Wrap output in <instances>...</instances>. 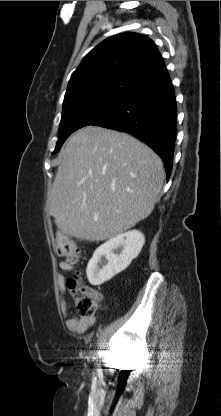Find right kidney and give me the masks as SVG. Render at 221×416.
Returning a JSON list of instances; mask_svg holds the SVG:
<instances>
[{"instance_id": "ca27d5eb", "label": "right kidney", "mask_w": 221, "mask_h": 416, "mask_svg": "<svg viewBox=\"0 0 221 416\" xmlns=\"http://www.w3.org/2000/svg\"><path fill=\"white\" fill-rule=\"evenodd\" d=\"M144 243V235L138 230H131L118 234L99 246L86 269L90 284L101 285L126 269L138 256ZM118 248H121V251L114 253V249ZM102 257L105 260H102Z\"/></svg>"}]
</instances>
